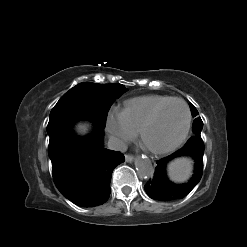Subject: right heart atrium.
Here are the masks:
<instances>
[{
    "mask_svg": "<svg viewBox=\"0 0 247 247\" xmlns=\"http://www.w3.org/2000/svg\"><path fill=\"white\" fill-rule=\"evenodd\" d=\"M106 126L112 139L120 146L136 136V131L130 127L123 112L118 109H112L108 113Z\"/></svg>",
    "mask_w": 247,
    "mask_h": 247,
    "instance_id": "d8ad5b80",
    "label": "right heart atrium"
}]
</instances>
